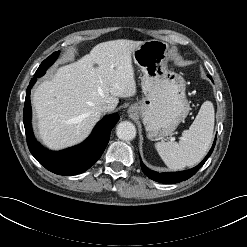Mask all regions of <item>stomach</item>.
<instances>
[{
	"mask_svg": "<svg viewBox=\"0 0 247 247\" xmlns=\"http://www.w3.org/2000/svg\"><path fill=\"white\" fill-rule=\"evenodd\" d=\"M168 56L169 45L158 39L144 41L133 51L134 62L143 73L144 98L131 105L130 111L141 116L150 140L172 134L191 109L186 82L168 69Z\"/></svg>",
	"mask_w": 247,
	"mask_h": 247,
	"instance_id": "stomach-1",
	"label": "stomach"
}]
</instances>
